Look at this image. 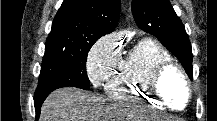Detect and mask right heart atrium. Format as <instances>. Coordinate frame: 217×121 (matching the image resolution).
I'll use <instances>...</instances> for the list:
<instances>
[{
  "label": "right heart atrium",
  "instance_id": "1",
  "mask_svg": "<svg viewBox=\"0 0 217 121\" xmlns=\"http://www.w3.org/2000/svg\"><path fill=\"white\" fill-rule=\"evenodd\" d=\"M119 46L116 37L106 35L92 47L86 63L87 74L93 86L107 81L118 61Z\"/></svg>",
  "mask_w": 217,
  "mask_h": 121
}]
</instances>
